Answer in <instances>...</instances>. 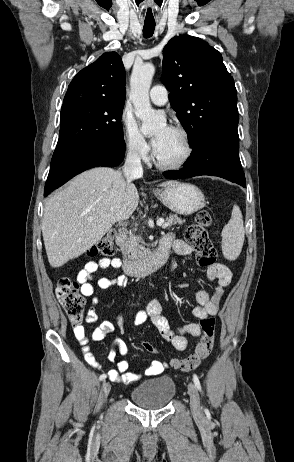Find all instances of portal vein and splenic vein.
<instances>
[{
  "instance_id": "portal-vein-and-splenic-vein-1",
  "label": "portal vein and splenic vein",
  "mask_w": 294,
  "mask_h": 462,
  "mask_svg": "<svg viewBox=\"0 0 294 462\" xmlns=\"http://www.w3.org/2000/svg\"><path fill=\"white\" fill-rule=\"evenodd\" d=\"M156 224H157V226L167 225L163 218L158 219Z\"/></svg>"
}]
</instances>
